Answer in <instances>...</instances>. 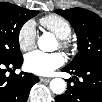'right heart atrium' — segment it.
I'll return each instance as SVG.
<instances>
[{"instance_id": "1", "label": "right heart atrium", "mask_w": 102, "mask_h": 102, "mask_svg": "<svg viewBox=\"0 0 102 102\" xmlns=\"http://www.w3.org/2000/svg\"><path fill=\"white\" fill-rule=\"evenodd\" d=\"M37 32L32 20L26 21L18 31V43L22 50L32 49L36 43Z\"/></svg>"}]
</instances>
